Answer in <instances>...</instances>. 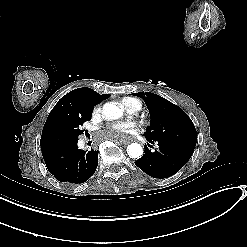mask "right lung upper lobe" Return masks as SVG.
<instances>
[{"instance_id": "right-lung-upper-lobe-1", "label": "right lung upper lobe", "mask_w": 247, "mask_h": 247, "mask_svg": "<svg viewBox=\"0 0 247 247\" xmlns=\"http://www.w3.org/2000/svg\"><path fill=\"white\" fill-rule=\"evenodd\" d=\"M110 94H98L90 88H77L63 96L51 110L44 125L40 145L48 132L76 117H91L95 105L108 98Z\"/></svg>"}]
</instances>
